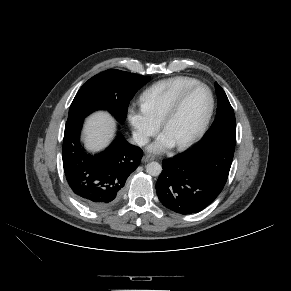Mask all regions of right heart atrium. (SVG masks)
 I'll return each instance as SVG.
<instances>
[{
    "instance_id": "right-heart-atrium-1",
    "label": "right heart atrium",
    "mask_w": 291,
    "mask_h": 291,
    "mask_svg": "<svg viewBox=\"0 0 291 291\" xmlns=\"http://www.w3.org/2000/svg\"><path fill=\"white\" fill-rule=\"evenodd\" d=\"M127 120L131 126L135 141L141 146L145 145L157 133L160 125L142 106H129Z\"/></svg>"
}]
</instances>
